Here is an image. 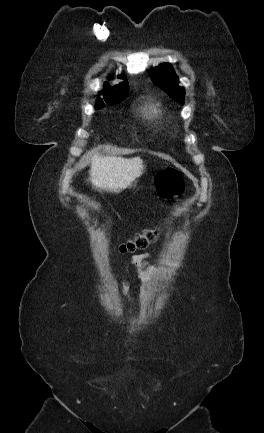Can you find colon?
I'll return each mask as SVG.
<instances>
[{"mask_svg": "<svg viewBox=\"0 0 264 433\" xmlns=\"http://www.w3.org/2000/svg\"><path fill=\"white\" fill-rule=\"evenodd\" d=\"M157 191L161 197L174 198L183 194V180L180 172L173 167H167L156 177ZM158 232L154 229H146L137 233L134 237L118 245L121 253L133 252L147 247L157 238Z\"/></svg>", "mask_w": 264, "mask_h": 433, "instance_id": "5ec220e1", "label": "colon"}]
</instances>
